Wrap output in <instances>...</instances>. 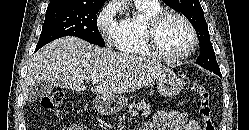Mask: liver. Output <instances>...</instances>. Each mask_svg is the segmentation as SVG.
Masks as SVG:
<instances>
[{"label":"liver","mask_w":249,"mask_h":130,"mask_svg":"<svg viewBox=\"0 0 249 130\" xmlns=\"http://www.w3.org/2000/svg\"><path fill=\"white\" fill-rule=\"evenodd\" d=\"M172 71L146 57L116 53L77 37L57 39L33 55L25 78L24 103L37 81L74 91L86 89L103 96L132 92Z\"/></svg>","instance_id":"6515ba94"}]
</instances>
